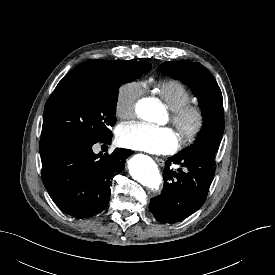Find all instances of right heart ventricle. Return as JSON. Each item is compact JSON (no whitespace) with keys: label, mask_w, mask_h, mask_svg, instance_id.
I'll list each match as a JSON object with an SVG mask.
<instances>
[{"label":"right heart ventricle","mask_w":275,"mask_h":275,"mask_svg":"<svg viewBox=\"0 0 275 275\" xmlns=\"http://www.w3.org/2000/svg\"><path fill=\"white\" fill-rule=\"evenodd\" d=\"M153 90L173 111L192 102L193 96L190 90L178 80H161L154 84Z\"/></svg>","instance_id":"obj_1"}]
</instances>
